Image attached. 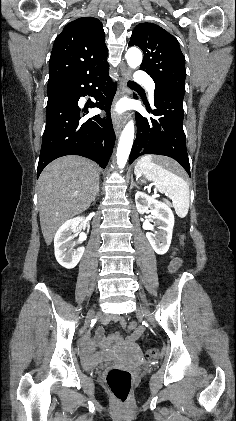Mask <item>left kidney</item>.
<instances>
[{
  "mask_svg": "<svg viewBox=\"0 0 236 421\" xmlns=\"http://www.w3.org/2000/svg\"><path fill=\"white\" fill-rule=\"evenodd\" d=\"M137 211L140 215L151 213L153 223L160 229L159 233H146V237L157 255L167 253L172 239L174 227V215L165 202L155 200L145 192H136L135 194ZM150 208V211H149Z\"/></svg>",
  "mask_w": 236,
  "mask_h": 421,
  "instance_id": "1",
  "label": "left kidney"
}]
</instances>
